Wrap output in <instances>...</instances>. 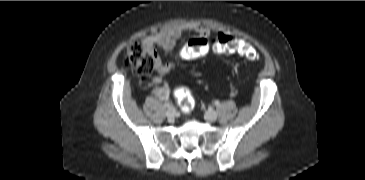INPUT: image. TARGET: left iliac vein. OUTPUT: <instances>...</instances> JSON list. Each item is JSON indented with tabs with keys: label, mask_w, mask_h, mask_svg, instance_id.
<instances>
[{
	"label": "left iliac vein",
	"mask_w": 365,
	"mask_h": 180,
	"mask_svg": "<svg viewBox=\"0 0 365 180\" xmlns=\"http://www.w3.org/2000/svg\"><path fill=\"white\" fill-rule=\"evenodd\" d=\"M205 118L211 122L216 121L217 113L214 110L209 109L205 112Z\"/></svg>",
	"instance_id": "left-iliac-vein-1"
}]
</instances>
